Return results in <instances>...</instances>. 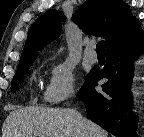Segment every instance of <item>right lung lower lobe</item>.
<instances>
[{"label": "right lung lower lobe", "mask_w": 144, "mask_h": 137, "mask_svg": "<svg viewBox=\"0 0 144 137\" xmlns=\"http://www.w3.org/2000/svg\"><path fill=\"white\" fill-rule=\"evenodd\" d=\"M140 49H144V32L121 46L107 50L106 66L103 70L93 69L77 95L84 101L93 122L117 137H135L138 118L130 111V86L133 62ZM102 78L108 81L101 86L102 92H97L95 85Z\"/></svg>", "instance_id": "obj_1"}]
</instances>
